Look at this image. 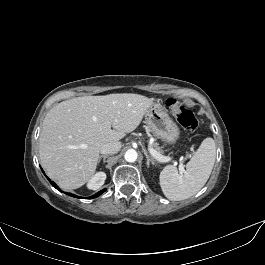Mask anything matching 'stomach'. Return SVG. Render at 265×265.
<instances>
[{
  "mask_svg": "<svg viewBox=\"0 0 265 265\" xmlns=\"http://www.w3.org/2000/svg\"><path fill=\"white\" fill-rule=\"evenodd\" d=\"M145 123L150 131L161 140L173 144L179 137V128L165 108L153 103L145 113Z\"/></svg>",
  "mask_w": 265,
  "mask_h": 265,
  "instance_id": "obj_1",
  "label": "stomach"
}]
</instances>
